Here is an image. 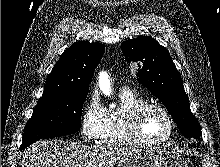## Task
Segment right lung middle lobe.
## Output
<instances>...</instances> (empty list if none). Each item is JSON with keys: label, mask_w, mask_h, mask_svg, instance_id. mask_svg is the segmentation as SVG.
<instances>
[{"label": "right lung middle lobe", "mask_w": 220, "mask_h": 167, "mask_svg": "<svg viewBox=\"0 0 220 167\" xmlns=\"http://www.w3.org/2000/svg\"><path fill=\"white\" fill-rule=\"evenodd\" d=\"M88 89L72 90L40 99L25 127L21 149L42 138L79 131Z\"/></svg>", "instance_id": "dd1d6c3e"}]
</instances>
